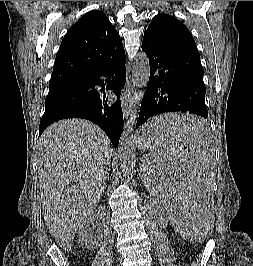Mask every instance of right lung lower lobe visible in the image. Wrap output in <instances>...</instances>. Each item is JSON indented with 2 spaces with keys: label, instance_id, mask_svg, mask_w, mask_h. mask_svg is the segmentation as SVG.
Masks as SVG:
<instances>
[{
  "label": "right lung lower lobe",
  "instance_id": "obj_1",
  "mask_svg": "<svg viewBox=\"0 0 253 266\" xmlns=\"http://www.w3.org/2000/svg\"><path fill=\"white\" fill-rule=\"evenodd\" d=\"M106 77V89L112 90L118 100L107 104L105 89L98 91L97 85L103 86ZM126 80L125 57L92 75L83 77L64 98L62 103L49 112H45L39 126V135L52 123L61 119L84 118L96 123L118 148L123 129V114L120 102L121 89Z\"/></svg>",
  "mask_w": 253,
  "mask_h": 266
}]
</instances>
